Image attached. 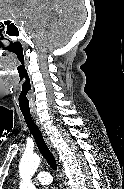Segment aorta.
Here are the masks:
<instances>
[{
  "label": "aorta",
  "mask_w": 124,
  "mask_h": 189,
  "mask_svg": "<svg viewBox=\"0 0 124 189\" xmlns=\"http://www.w3.org/2000/svg\"><path fill=\"white\" fill-rule=\"evenodd\" d=\"M40 164V158L36 154H24L21 158L19 171L22 178L20 189H36L31 182V177L36 172Z\"/></svg>",
  "instance_id": "obj_1"
}]
</instances>
